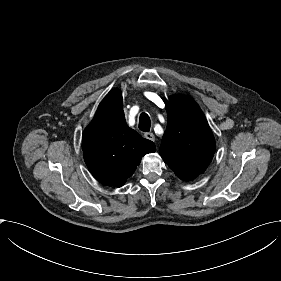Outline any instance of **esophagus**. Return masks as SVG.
Listing matches in <instances>:
<instances>
[{
	"mask_svg": "<svg viewBox=\"0 0 281 281\" xmlns=\"http://www.w3.org/2000/svg\"><path fill=\"white\" fill-rule=\"evenodd\" d=\"M144 137H145L146 139L151 140V141H155V135H154L153 133H145V134H144Z\"/></svg>",
	"mask_w": 281,
	"mask_h": 281,
	"instance_id": "1",
	"label": "esophagus"
}]
</instances>
